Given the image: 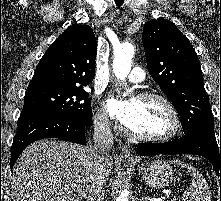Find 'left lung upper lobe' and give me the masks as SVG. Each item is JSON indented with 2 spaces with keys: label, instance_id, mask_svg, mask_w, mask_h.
<instances>
[{
  "label": "left lung upper lobe",
  "instance_id": "obj_1",
  "mask_svg": "<svg viewBox=\"0 0 221 201\" xmlns=\"http://www.w3.org/2000/svg\"><path fill=\"white\" fill-rule=\"evenodd\" d=\"M142 42L148 71L181 116L184 133L199 129L215 137L200 63L188 38L159 18L145 24Z\"/></svg>",
  "mask_w": 221,
  "mask_h": 201
}]
</instances>
